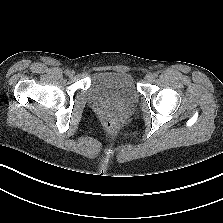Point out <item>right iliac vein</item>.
<instances>
[{"label": "right iliac vein", "instance_id": "1", "mask_svg": "<svg viewBox=\"0 0 223 223\" xmlns=\"http://www.w3.org/2000/svg\"><path fill=\"white\" fill-rule=\"evenodd\" d=\"M68 75L73 76L74 75V71H70Z\"/></svg>", "mask_w": 223, "mask_h": 223}]
</instances>
